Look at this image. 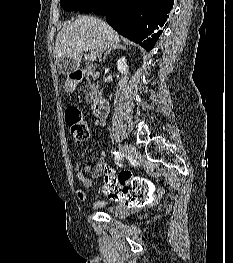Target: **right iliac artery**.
Masks as SVG:
<instances>
[{"instance_id":"right-iliac-artery-1","label":"right iliac artery","mask_w":233,"mask_h":263,"mask_svg":"<svg viewBox=\"0 0 233 263\" xmlns=\"http://www.w3.org/2000/svg\"><path fill=\"white\" fill-rule=\"evenodd\" d=\"M124 153L122 152H115V159L121 161L124 158Z\"/></svg>"}]
</instances>
